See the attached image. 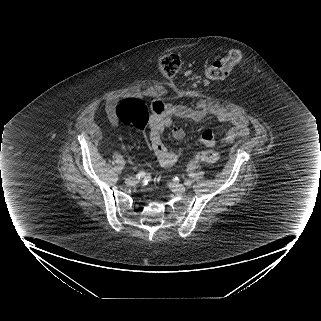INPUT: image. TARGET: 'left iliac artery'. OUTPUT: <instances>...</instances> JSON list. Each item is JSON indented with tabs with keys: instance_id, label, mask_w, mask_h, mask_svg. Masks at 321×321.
<instances>
[{
	"instance_id": "obj_1",
	"label": "left iliac artery",
	"mask_w": 321,
	"mask_h": 321,
	"mask_svg": "<svg viewBox=\"0 0 321 321\" xmlns=\"http://www.w3.org/2000/svg\"><path fill=\"white\" fill-rule=\"evenodd\" d=\"M184 184L190 187L192 185V182L190 180H185Z\"/></svg>"
}]
</instances>
